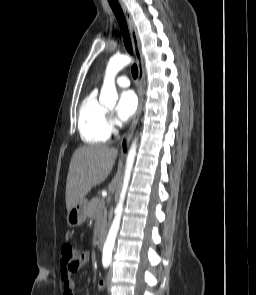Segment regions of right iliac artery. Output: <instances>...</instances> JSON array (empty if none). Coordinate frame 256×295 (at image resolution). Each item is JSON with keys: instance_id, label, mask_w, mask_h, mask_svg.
I'll return each mask as SVG.
<instances>
[{"instance_id": "right-iliac-artery-1", "label": "right iliac artery", "mask_w": 256, "mask_h": 295, "mask_svg": "<svg viewBox=\"0 0 256 295\" xmlns=\"http://www.w3.org/2000/svg\"><path fill=\"white\" fill-rule=\"evenodd\" d=\"M104 268H107L109 266V263H103Z\"/></svg>"}]
</instances>
